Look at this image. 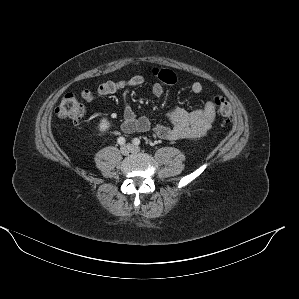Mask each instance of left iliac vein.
I'll list each match as a JSON object with an SVG mask.
<instances>
[{
  "mask_svg": "<svg viewBox=\"0 0 299 299\" xmlns=\"http://www.w3.org/2000/svg\"><path fill=\"white\" fill-rule=\"evenodd\" d=\"M128 146L131 148L132 153H136V152L140 151V148L138 146H134V145H131V144H128Z\"/></svg>",
  "mask_w": 299,
  "mask_h": 299,
  "instance_id": "obj_1",
  "label": "left iliac vein"
}]
</instances>
